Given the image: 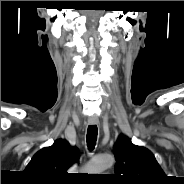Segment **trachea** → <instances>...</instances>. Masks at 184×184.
I'll return each instance as SVG.
<instances>
[{
  "label": "trachea",
  "instance_id": "obj_1",
  "mask_svg": "<svg viewBox=\"0 0 184 184\" xmlns=\"http://www.w3.org/2000/svg\"><path fill=\"white\" fill-rule=\"evenodd\" d=\"M98 129L96 125H90L87 129V146L89 150H93L97 141Z\"/></svg>",
  "mask_w": 184,
  "mask_h": 184
}]
</instances>
